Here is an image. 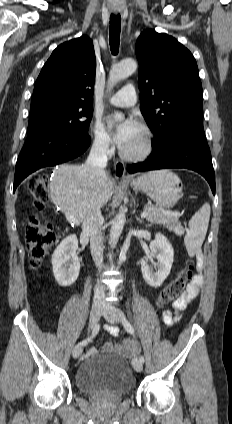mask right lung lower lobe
<instances>
[{
    "instance_id": "obj_1",
    "label": "right lung lower lobe",
    "mask_w": 232,
    "mask_h": 424,
    "mask_svg": "<svg viewBox=\"0 0 232 424\" xmlns=\"http://www.w3.org/2000/svg\"><path fill=\"white\" fill-rule=\"evenodd\" d=\"M89 145L90 137L87 134L75 135L48 130L29 133L16 163L14 191L32 172L74 159Z\"/></svg>"
}]
</instances>
